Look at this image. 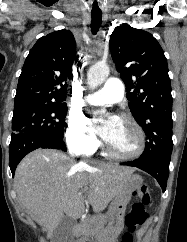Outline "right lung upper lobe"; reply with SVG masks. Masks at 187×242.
I'll return each mask as SVG.
<instances>
[{
  "label": "right lung upper lobe",
  "instance_id": "1",
  "mask_svg": "<svg viewBox=\"0 0 187 242\" xmlns=\"http://www.w3.org/2000/svg\"><path fill=\"white\" fill-rule=\"evenodd\" d=\"M76 44L73 34L59 30L41 37L29 52L19 77L15 106L64 104L72 79Z\"/></svg>",
  "mask_w": 187,
  "mask_h": 242
}]
</instances>
